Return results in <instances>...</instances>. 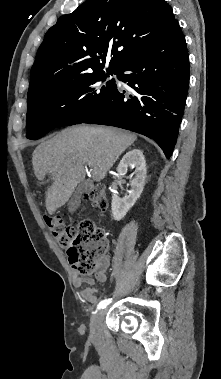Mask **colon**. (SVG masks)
<instances>
[{
    "label": "colon",
    "mask_w": 221,
    "mask_h": 379,
    "mask_svg": "<svg viewBox=\"0 0 221 379\" xmlns=\"http://www.w3.org/2000/svg\"><path fill=\"white\" fill-rule=\"evenodd\" d=\"M96 208H106V193L101 185H95L86 194ZM44 221L53 238L67 248L68 260L80 276H88L97 270L105 256V233L89 219H81L74 225H65L60 217L45 216Z\"/></svg>",
    "instance_id": "1"
}]
</instances>
